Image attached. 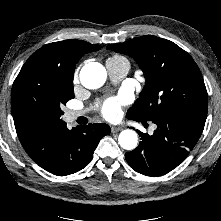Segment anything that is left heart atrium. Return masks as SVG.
Listing matches in <instances>:
<instances>
[{
	"instance_id": "obj_1",
	"label": "left heart atrium",
	"mask_w": 221,
	"mask_h": 221,
	"mask_svg": "<svg viewBox=\"0 0 221 221\" xmlns=\"http://www.w3.org/2000/svg\"><path fill=\"white\" fill-rule=\"evenodd\" d=\"M129 102V97L125 94L105 99L100 105L101 114L109 120L118 118L122 112V106Z\"/></svg>"
}]
</instances>
